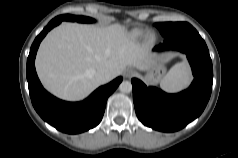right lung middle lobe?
I'll return each instance as SVG.
<instances>
[{
	"label": "right lung middle lobe",
	"mask_w": 238,
	"mask_h": 158,
	"mask_svg": "<svg viewBox=\"0 0 238 158\" xmlns=\"http://www.w3.org/2000/svg\"><path fill=\"white\" fill-rule=\"evenodd\" d=\"M60 18L62 20H66V21H77V22H85V23H91L94 22V20L92 18L89 17H84V16H74V15H61Z\"/></svg>",
	"instance_id": "dd1d6c3e"
}]
</instances>
